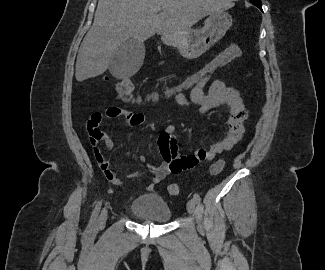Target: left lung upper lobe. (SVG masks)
<instances>
[{"instance_id": "1", "label": "left lung upper lobe", "mask_w": 325, "mask_h": 270, "mask_svg": "<svg viewBox=\"0 0 325 270\" xmlns=\"http://www.w3.org/2000/svg\"><path fill=\"white\" fill-rule=\"evenodd\" d=\"M250 2L253 3L254 5H262L261 0H250Z\"/></svg>"}]
</instances>
